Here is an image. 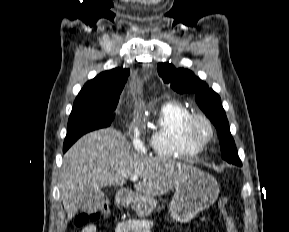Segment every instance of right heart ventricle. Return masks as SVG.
<instances>
[{
    "mask_svg": "<svg viewBox=\"0 0 289 232\" xmlns=\"http://www.w3.org/2000/svg\"><path fill=\"white\" fill-rule=\"evenodd\" d=\"M190 114V110L179 102H166L160 107L149 138L150 147L156 155L185 157L200 151L183 135L184 121Z\"/></svg>",
    "mask_w": 289,
    "mask_h": 232,
    "instance_id": "1",
    "label": "right heart ventricle"
}]
</instances>
